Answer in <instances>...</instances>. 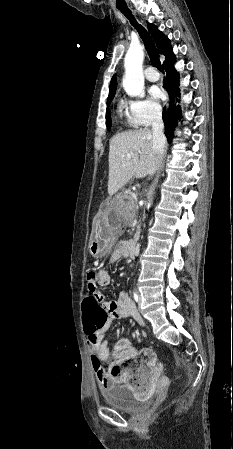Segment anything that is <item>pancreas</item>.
<instances>
[{
	"label": "pancreas",
	"mask_w": 233,
	"mask_h": 449,
	"mask_svg": "<svg viewBox=\"0 0 233 449\" xmlns=\"http://www.w3.org/2000/svg\"><path fill=\"white\" fill-rule=\"evenodd\" d=\"M122 198L126 199L127 202L120 201V213H121V215L124 218L133 217L135 215V211H136L135 198L132 195H130V194L123 195Z\"/></svg>",
	"instance_id": "cf45deb5"
}]
</instances>
